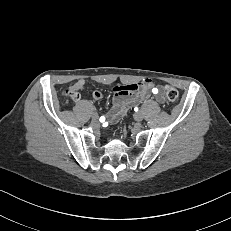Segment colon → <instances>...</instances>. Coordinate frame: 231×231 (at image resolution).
<instances>
[{"instance_id": "obj_1", "label": "colon", "mask_w": 231, "mask_h": 231, "mask_svg": "<svg viewBox=\"0 0 231 231\" xmlns=\"http://www.w3.org/2000/svg\"><path fill=\"white\" fill-rule=\"evenodd\" d=\"M164 92H165L166 98L169 101H175L179 97L178 91L175 88L171 87V86H166L165 89H164ZM63 95L67 100H70V101H77L80 98L79 92L72 89V88L66 89L63 92Z\"/></svg>"}]
</instances>
